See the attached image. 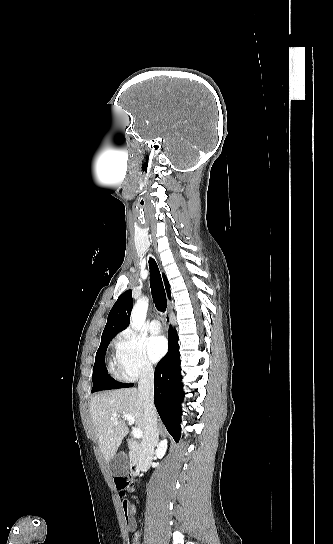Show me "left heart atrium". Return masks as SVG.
I'll use <instances>...</instances> for the list:
<instances>
[{"label":"left heart atrium","instance_id":"1","mask_svg":"<svg viewBox=\"0 0 333 544\" xmlns=\"http://www.w3.org/2000/svg\"><path fill=\"white\" fill-rule=\"evenodd\" d=\"M147 353L154 362L160 360L167 352V342L162 336H152L146 343Z\"/></svg>","mask_w":333,"mask_h":544}]
</instances>
